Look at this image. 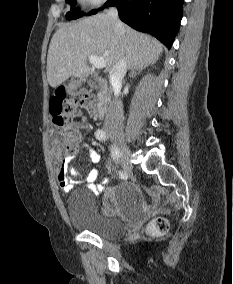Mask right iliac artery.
I'll return each instance as SVG.
<instances>
[{
	"label": "right iliac artery",
	"instance_id": "1",
	"mask_svg": "<svg viewBox=\"0 0 233 284\" xmlns=\"http://www.w3.org/2000/svg\"><path fill=\"white\" fill-rule=\"evenodd\" d=\"M95 136L99 141L107 140V134L103 129H98L95 132ZM112 157L115 160V162H119L120 154H119V150L115 146H112Z\"/></svg>",
	"mask_w": 233,
	"mask_h": 284
}]
</instances>
